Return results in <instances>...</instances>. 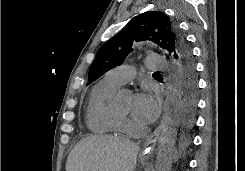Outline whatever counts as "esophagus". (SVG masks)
Instances as JSON below:
<instances>
[{"label": "esophagus", "mask_w": 245, "mask_h": 171, "mask_svg": "<svg viewBox=\"0 0 245 171\" xmlns=\"http://www.w3.org/2000/svg\"><path fill=\"white\" fill-rule=\"evenodd\" d=\"M159 134H160V126L157 127L156 130L147 138L142 153L143 157H149L153 153Z\"/></svg>", "instance_id": "34e87169"}]
</instances>
